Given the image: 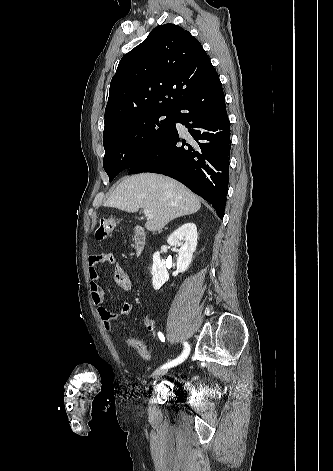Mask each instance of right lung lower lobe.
<instances>
[{
  "instance_id": "obj_1",
  "label": "right lung lower lobe",
  "mask_w": 333,
  "mask_h": 471,
  "mask_svg": "<svg viewBox=\"0 0 333 471\" xmlns=\"http://www.w3.org/2000/svg\"><path fill=\"white\" fill-rule=\"evenodd\" d=\"M177 122L188 128L190 139H182ZM230 148L225 96L217 76L179 106L172 127L128 169V174L153 172L172 177L211 203L222 219Z\"/></svg>"
}]
</instances>
